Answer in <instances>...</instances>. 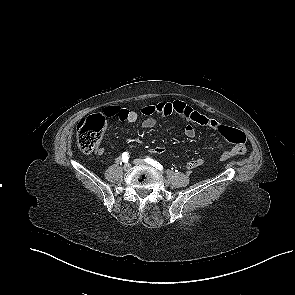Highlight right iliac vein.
I'll list each match as a JSON object with an SVG mask.
<instances>
[{
    "instance_id": "right-iliac-vein-1",
    "label": "right iliac vein",
    "mask_w": 295,
    "mask_h": 295,
    "mask_svg": "<svg viewBox=\"0 0 295 295\" xmlns=\"http://www.w3.org/2000/svg\"><path fill=\"white\" fill-rule=\"evenodd\" d=\"M123 168H124L125 171H129L131 169V165L129 163H127V164L124 165Z\"/></svg>"
}]
</instances>
